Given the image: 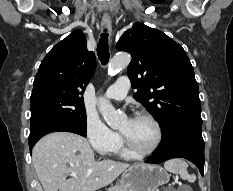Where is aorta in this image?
Returning a JSON list of instances; mask_svg holds the SVG:
<instances>
[{
    "mask_svg": "<svg viewBox=\"0 0 233 191\" xmlns=\"http://www.w3.org/2000/svg\"><path fill=\"white\" fill-rule=\"evenodd\" d=\"M130 61L131 57L128 53L121 52L117 54L110 62L109 72L114 73L121 70L126 67ZM98 110L106 123L114 129L119 127L120 121L125 117L123 114L118 113L109 101L102 98L98 101Z\"/></svg>",
    "mask_w": 233,
    "mask_h": 191,
    "instance_id": "1",
    "label": "aorta"
}]
</instances>
